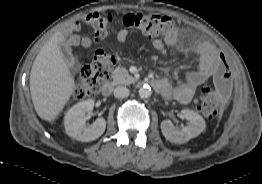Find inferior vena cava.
<instances>
[{"label": "inferior vena cava", "mask_w": 262, "mask_h": 184, "mask_svg": "<svg viewBox=\"0 0 262 184\" xmlns=\"http://www.w3.org/2000/svg\"><path fill=\"white\" fill-rule=\"evenodd\" d=\"M129 93V89L126 87H117L114 89V96L118 99L127 97Z\"/></svg>", "instance_id": "obj_1"}]
</instances>
